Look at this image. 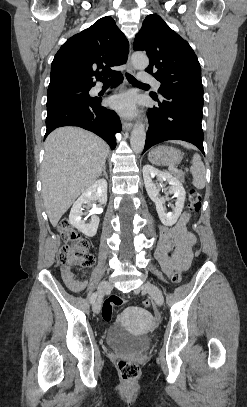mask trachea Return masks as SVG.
<instances>
[{
	"label": "trachea",
	"instance_id": "obj_1",
	"mask_svg": "<svg viewBox=\"0 0 247 407\" xmlns=\"http://www.w3.org/2000/svg\"><path fill=\"white\" fill-rule=\"evenodd\" d=\"M126 78H127V80H128L130 83H132V84L148 86V84H143V83L137 81V80H136L131 74H129V73H126ZM110 81H111V80L109 79L108 82H110Z\"/></svg>",
	"mask_w": 247,
	"mask_h": 407
}]
</instances>
